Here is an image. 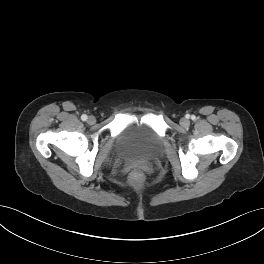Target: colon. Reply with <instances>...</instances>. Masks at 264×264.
<instances>
[{
    "mask_svg": "<svg viewBox=\"0 0 264 264\" xmlns=\"http://www.w3.org/2000/svg\"><path fill=\"white\" fill-rule=\"evenodd\" d=\"M131 180L133 182H142L143 181V175L141 173V171L139 170H134L132 173H131Z\"/></svg>",
    "mask_w": 264,
    "mask_h": 264,
    "instance_id": "1",
    "label": "colon"
}]
</instances>
